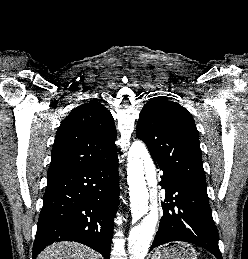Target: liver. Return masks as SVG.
<instances>
[{"instance_id": "liver-1", "label": "liver", "mask_w": 248, "mask_h": 259, "mask_svg": "<svg viewBox=\"0 0 248 259\" xmlns=\"http://www.w3.org/2000/svg\"><path fill=\"white\" fill-rule=\"evenodd\" d=\"M37 259H99V254L76 242H58L46 247Z\"/></svg>"}]
</instances>
